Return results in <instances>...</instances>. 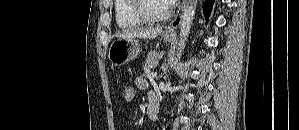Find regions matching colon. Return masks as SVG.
<instances>
[{"label": "colon", "mask_w": 299, "mask_h": 130, "mask_svg": "<svg viewBox=\"0 0 299 130\" xmlns=\"http://www.w3.org/2000/svg\"><path fill=\"white\" fill-rule=\"evenodd\" d=\"M136 95V89L132 84H127L123 88L122 96L125 102L133 101Z\"/></svg>", "instance_id": "5ec220e1"}]
</instances>
